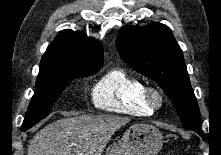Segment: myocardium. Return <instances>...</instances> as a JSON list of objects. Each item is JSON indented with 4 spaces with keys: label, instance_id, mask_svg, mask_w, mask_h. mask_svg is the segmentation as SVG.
<instances>
[{
    "label": "myocardium",
    "instance_id": "myocardium-1",
    "mask_svg": "<svg viewBox=\"0 0 221 155\" xmlns=\"http://www.w3.org/2000/svg\"><path fill=\"white\" fill-rule=\"evenodd\" d=\"M143 96L146 105L152 110H158L164 104L163 94L155 87H146Z\"/></svg>",
    "mask_w": 221,
    "mask_h": 155
}]
</instances>
